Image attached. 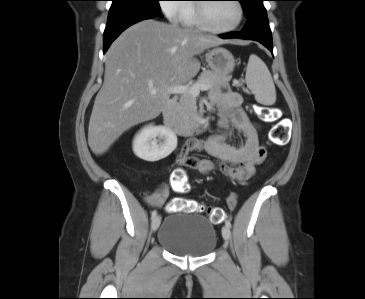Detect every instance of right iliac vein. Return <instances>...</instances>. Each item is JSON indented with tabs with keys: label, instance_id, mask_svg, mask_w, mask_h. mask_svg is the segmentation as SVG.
Here are the masks:
<instances>
[{
	"label": "right iliac vein",
	"instance_id": "1",
	"mask_svg": "<svg viewBox=\"0 0 365 299\" xmlns=\"http://www.w3.org/2000/svg\"><path fill=\"white\" fill-rule=\"evenodd\" d=\"M161 223V217L160 216H155L152 219V223H151V229L153 232L157 231V229L159 228Z\"/></svg>",
	"mask_w": 365,
	"mask_h": 299
}]
</instances>
